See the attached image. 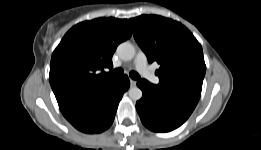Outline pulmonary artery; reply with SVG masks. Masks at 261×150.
I'll return each mask as SVG.
<instances>
[{
	"label": "pulmonary artery",
	"instance_id": "pulmonary-artery-1",
	"mask_svg": "<svg viewBox=\"0 0 261 150\" xmlns=\"http://www.w3.org/2000/svg\"><path fill=\"white\" fill-rule=\"evenodd\" d=\"M134 66L140 72L142 76L151 81L154 84L159 83V77L156 76L147 64V57L144 52L139 51L134 60Z\"/></svg>",
	"mask_w": 261,
	"mask_h": 150
}]
</instances>
